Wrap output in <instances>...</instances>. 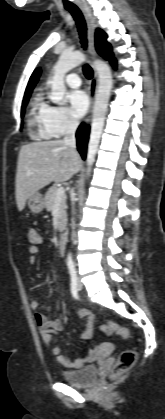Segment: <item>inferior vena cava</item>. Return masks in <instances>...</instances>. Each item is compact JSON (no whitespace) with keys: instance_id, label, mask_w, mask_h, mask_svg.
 Wrapping results in <instances>:
<instances>
[{"instance_id":"inferior-vena-cava-1","label":"inferior vena cava","mask_w":165,"mask_h":419,"mask_svg":"<svg viewBox=\"0 0 165 419\" xmlns=\"http://www.w3.org/2000/svg\"><path fill=\"white\" fill-rule=\"evenodd\" d=\"M79 122L78 120L74 119V118H69L67 121V127H66V132H65V137H64V144L66 146H68L69 148H71L73 151H76V138H75V132L78 128ZM72 208L74 210V202H72ZM72 240H74L75 237V221L74 218L72 219Z\"/></svg>"}]
</instances>
